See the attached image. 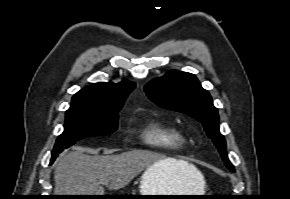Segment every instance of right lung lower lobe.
I'll return each instance as SVG.
<instances>
[{"label": "right lung lower lobe", "instance_id": "obj_1", "mask_svg": "<svg viewBox=\"0 0 290 199\" xmlns=\"http://www.w3.org/2000/svg\"><path fill=\"white\" fill-rule=\"evenodd\" d=\"M55 158H56V157H55ZM55 158H52V159H51V163H53V161L55 160Z\"/></svg>", "mask_w": 290, "mask_h": 199}]
</instances>
